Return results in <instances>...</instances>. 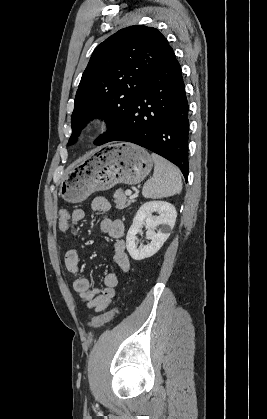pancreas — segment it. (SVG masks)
Returning a JSON list of instances; mask_svg holds the SVG:
<instances>
[{
	"label": "pancreas",
	"mask_w": 267,
	"mask_h": 419,
	"mask_svg": "<svg viewBox=\"0 0 267 419\" xmlns=\"http://www.w3.org/2000/svg\"><path fill=\"white\" fill-rule=\"evenodd\" d=\"M134 200L128 199L126 194L122 189H118L114 194V203L116 208L122 210L128 207Z\"/></svg>",
	"instance_id": "pancreas-1"
}]
</instances>
